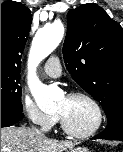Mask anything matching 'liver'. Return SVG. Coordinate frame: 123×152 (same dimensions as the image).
Here are the masks:
<instances>
[{"label": "liver", "instance_id": "liver-1", "mask_svg": "<svg viewBox=\"0 0 123 152\" xmlns=\"http://www.w3.org/2000/svg\"><path fill=\"white\" fill-rule=\"evenodd\" d=\"M76 144L48 139L26 127L1 128V152H64Z\"/></svg>", "mask_w": 123, "mask_h": 152}]
</instances>
